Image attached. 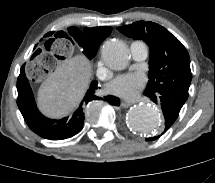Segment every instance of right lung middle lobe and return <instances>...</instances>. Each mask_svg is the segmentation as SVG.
<instances>
[{"label": "right lung middle lobe", "mask_w": 215, "mask_h": 183, "mask_svg": "<svg viewBox=\"0 0 215 183\" xmlns=\"http://www.w3.org/2000/svg\"><path fill=\"white\" fill-rule=\"evenodd\" d=\"M67 34L66 37H71L70 40L73 39L84 48V54L89 59H92L97 54L102 39L95 38L93 32L87 31L86 28L83 32L78 28H69Z\"/></svg>", "instance_id": "right-lung-middle-lobe-1"}]
</instances>
